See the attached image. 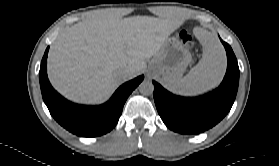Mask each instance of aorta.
Listing matches in <instances>:
<instances>
[{
    "label": "aorta",
    "instance_id": "1",
    "mask_svg": "<svg viewBox=\"0 0 279 166\" xmlns=\"http://www.w3.org/2000/svg\"><path fill=\"white\" fill-rule=\"evenodd\" d=\"M154 91V85L149 80H143L139 85V92L143 95H150Z\"/></svg>",
    "mask_w": 279,
    "mask_h": 166
}]
</instances>
